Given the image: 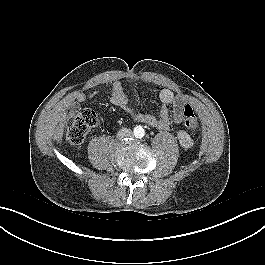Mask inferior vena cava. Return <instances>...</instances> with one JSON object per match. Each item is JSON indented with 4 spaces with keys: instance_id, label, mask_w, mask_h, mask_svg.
<instances>
[{
    "instance_id": "602c4592",
    "label": "inferior vena cava",
    "mask_w": 265,
    "mask_h": 265,
    "mask_svg": "<svg viewBox=\"0 0 265 265\" xmlns=\"http://www.w3.org/2000/svg\"><path fill=\"white\" fill-rule=\"evenodd\" d=\"M132 135H133L132 131L128 128H123V129L119 130V132L117 133V137L119 139L132 137Z\"/></svg>"
}]
</instances>
